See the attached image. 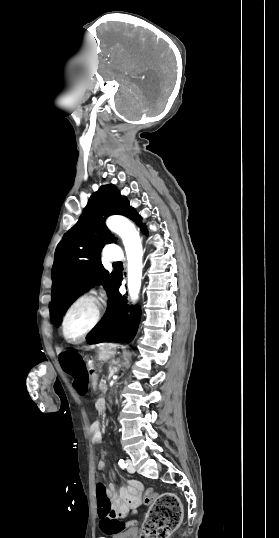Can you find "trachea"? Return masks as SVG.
Instances as JSON below:
<instances>
[{
	"mask_svg": "<svg viewBox=\"0 0 279 538\" xmlns=\"http://www.w3.org/2000/svg\"><path fill=\"white\" fill-rule=\"evenodd\" d=\"M115 264H120V262H116Z\"/></svg>",
	"mask_w": 279,
	"mask_h": 538,
	"instance_id": "3493384b",
	"label": "trachea"
}]
</instances>
